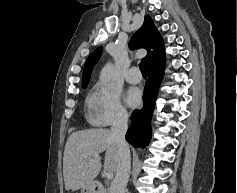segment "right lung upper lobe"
<instances>
[{"label": "right lung upper lobe", "mask_w": 237, "mask_h": 193, "mask_svg": "<svg viewBox=\"0 0 237 193\" xmlns=\"http://www.w3.org/2000/svg\"><path fill=\"white\" fill-rule=\"evenodd\" d=\"M129 46L132 49L145 48L148 51L144 58L147 66L165 56L163 39L149 15L145 16L143 25L133 35ZM101 54L102 47H98L86 60L82 75V87L88 85L93 66L98 62Z\"/></svg>", "instance_id": "cb5924a9"}]
</instances>
